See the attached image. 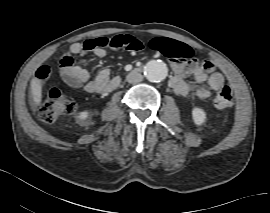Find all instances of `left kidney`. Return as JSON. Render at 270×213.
I'll use <instances>...</instances> for the list:
<instances>
[{
    "label": "left kidney",
    "instance_id": "5707ae66",
    "mask_svg": "<svg viewBox=\"0 0 270 213\" xmlns=\"http://www.w3.org/2000/svg\"><path fill=\"white\" fill-rule=\"evenodd\" d=\"M192 118L196 125H202L206 120V113L199 107H194L192 110Z\"/></svg>",
    "mask_w": 270,
    "mask_h": 213
}]
</instances>
